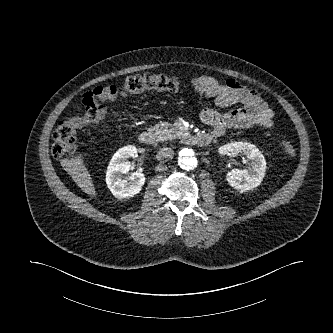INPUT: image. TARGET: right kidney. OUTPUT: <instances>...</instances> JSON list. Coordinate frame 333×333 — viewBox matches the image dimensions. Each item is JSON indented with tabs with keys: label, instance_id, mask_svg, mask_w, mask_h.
I'll return each instance as SVG.
<instances>
[{
	"label": "right kidney",
	"instance_id": "obj_1",
	"mask_svg": "<svg viewBox=\"0 0 333 333\" xmlns=\"http://www.w3.org/2000/svg\"><path fill=\"white\" fill-rule=\"evenodd\" d=\"M137 150L135 146H125L119 149L110 160L106 172V183L111 193L118 199L133 197L138 194L144 183L145 175L135 172L129 178H123L122 174H126L130 170L129 157H135Z\"/></svg>",
	"mask_w": 333,
	"mask_h": 333
}]
</instances>
